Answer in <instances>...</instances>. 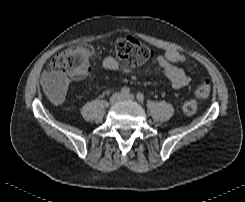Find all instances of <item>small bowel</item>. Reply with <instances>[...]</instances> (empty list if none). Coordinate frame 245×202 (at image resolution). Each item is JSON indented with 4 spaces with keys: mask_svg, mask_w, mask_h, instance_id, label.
I'll list each match as a JSON object with an SVG mask.
<instances>
[{
    "mask_svg": "<svg viewBox=\"0 0 245 202\" xmlns=\"http://www.w3.org/2000/svg\"><path fill=\"white\" fill-rule=\"evenodd\" d=\"M179 59V52L172 48L168 49L165 54H157L154 57V66L161 70L162 73L169 79L171 86L174 89L184 88L190 82V78L185 71L176 65ZM102 66L106 70L121 71L125 75L129 76L136 74L134 70L122 68L116 57L113 55L105 56L102 60ZM42 81L46 87H52L57 92H62L64 89L63 80L49 71H45L43 73Z\"/></svg>",
    "mask_w": 245,
    "mask_h": 202,
    "instance_id": "small-bowel-1",
    "label": "small bowel"
}]
</instances>
